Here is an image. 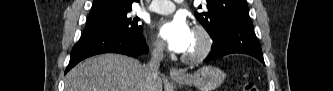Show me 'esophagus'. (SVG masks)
Listing matches in <instances>:
<instances>
[{"mask_svg":"<svg viewBox=\"0 0 333 91\" xmlns=\"http://www.w3.org/2000/svg\"><path fill=\"white\" fill-rule=\"evenodd\" d=\"M169 72L172 78H178L183 76V72L175 67H172Z\"/></svg>","mask_w":333,"mask_h":91,"instance_id":"obj_1","label":"esophagus"}]
</instances>
